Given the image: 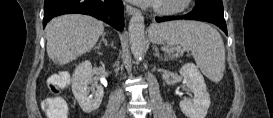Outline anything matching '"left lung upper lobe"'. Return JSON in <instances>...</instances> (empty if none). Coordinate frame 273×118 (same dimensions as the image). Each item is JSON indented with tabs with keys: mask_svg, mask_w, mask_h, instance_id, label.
Listing matches in <instances>:
<instances>
[{
	"mask_svg": "<svg viewBox=\"0 0 273 118\" xmlns=\"http://www.w3.org/2000/svg\"><path fill=\"white\" fill-rule=\"evenodd\" d=\"M194 10L206 11L224 16L222 0H196Z\"/></svg>",
	"mask_w": 273,
	"mask_h": 118,
	"instance_id": "5c2ea615",
	"label": "left lung upper lobe"
}]
</instances>
